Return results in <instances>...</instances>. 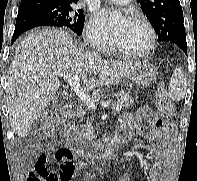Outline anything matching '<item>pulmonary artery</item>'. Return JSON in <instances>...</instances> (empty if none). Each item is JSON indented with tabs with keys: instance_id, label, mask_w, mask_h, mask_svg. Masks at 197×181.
I'll use <instances>...</instances> for the list:
<instances>
[{
	"instance_id": "e3ab8cb5",
	"label": "pulmonary artery",
	"mask_w": 197,
	"mask_h": 181,
	"mask_svg": "<svg viewBox=\"0 0 197 181\" xmlns=\"http://www.w3.org/2000/svg\"><path fill=\"white\" fill-rule=\"evenodd\" d=\"M111 2H114L116 4H127L130 2V0H110Z\"/></svg>"
}]
</instances>
